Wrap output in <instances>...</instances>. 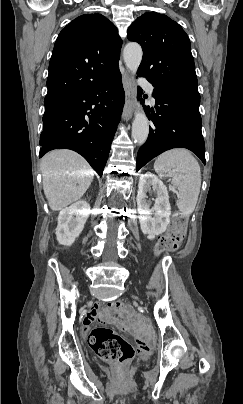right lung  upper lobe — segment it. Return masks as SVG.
I'll list each match as a JSON object with an SVG mask.
<instances>
[{
  "mask_svg": "<svg viewBox=\"0 0 243 404\" xmlns=\"http://www.w3.org/2000/svg\"><path fill=\"white\" fill-rule=\"evenodd\" d=\"M122 40L101 14H85L58 35L49 63L44 102L91 88L120 73Z\"/></svg>",
  "mask_w": 243,
  "mask_h": 404,
  "instance_id": "cb5924a9",
  "label": "right lung upper lobe"
}]
</instances>
